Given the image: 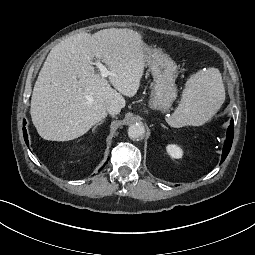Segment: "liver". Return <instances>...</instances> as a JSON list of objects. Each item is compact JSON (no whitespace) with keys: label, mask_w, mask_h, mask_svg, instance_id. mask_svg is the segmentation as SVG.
<instances>
[{"label":"liver","mask_w":255,"mask_h":255,"mask_svg":"<svg viewBox=\"0 0 255 255\" xmlns=\"http://www.w3.org/2000/svg\"><path fill=\"white\" fill-rule=\"evenodd\" d=\"M144 46L141 34L127 28L79 33L55 45L31 98V118L38 134L46 140H73L107 116V100L123 108L122 95L132 97L139 89ZM94 57L113 73L109 82L114 88L95 73Z\"/></svg>","instance_id":"obj_1"}]
</instances>
